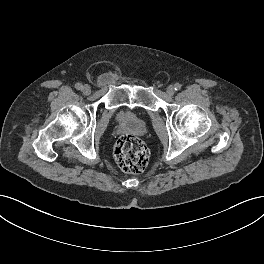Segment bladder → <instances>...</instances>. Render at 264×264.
Returning <instances> with one entry per match:
<instances>
[{
	"instance_id": "bladder-1",
	"label": "bladder",
	"mask_w": 264,
	"mask_h": 264,
	"mask_svg": "<svg viewBox=\"0 0 264 264\" xmlns=\"http://www.w3.org/2000/svg\"><path fill=\"white\" fill-rule=\"evenodd\" d=\"M117 118L121 122H131L133 120V114L129 110H120L117 114Z\"/></svg>"
}]
</instances>
